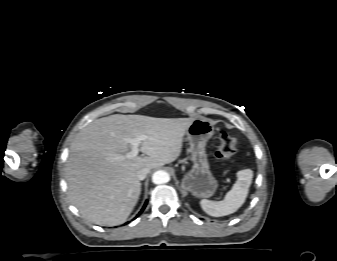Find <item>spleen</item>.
<instances>
[{
  "instance_id": "spleen-1",
  "label": "spleen",
  "mask_w": 337,
  "mask_h": 261,
  "mask_svg": "<svg viewBox=\"0 0 337 261\" xmlns=\"http://www.w3.org/2000/svg\"><path fill=\"white\" fill-rule=\"evenodd\" d=\"M253 178L251 169L237 172V181L221 201L203 199L202 209L210 216L221 217L236 212L245 202Z\"/></svg>"
}]
</instances>
